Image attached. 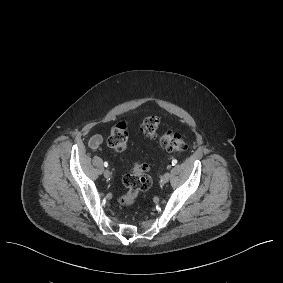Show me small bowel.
Here are the masks:
<instances>
[{
	"instance_id": "c3829d8e",
	"label": "small bowel",
	"mask_w": 283,
	"mask_h": 283,
	"mask_svg": "<svg viewBox=\"0 0 283 283\" xmlns=\"http://www.w3.org/2000/svg\"><path fill=\"white\" fill-rule=\"evenodd\" d=\"M103 137L99 134L94 135L89 142L91 149L97 150L103 143Z\"/></svg>"
}]
</instances>
